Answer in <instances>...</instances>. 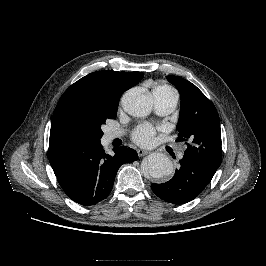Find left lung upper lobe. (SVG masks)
I'll return each instance as SVG.
<instances>
[{
	"mask_svg": "<svg viewBox=\"0 0 266 266\" xmlns=\"http://www.w3.org/2000/svg\"><path fill=\"white\" fill-rule=\"evenodd\" d=\"M181 96L178 141L189 143L184 157L217 170L221 164L220 119L214 104L191 82L167 76Z\"/></svg>",
	"mask_w": 266,
	"mask_h": 266,
	"instance_id": "obj_1",
	"label": "left lung upper lobe"
}]
</instances>
